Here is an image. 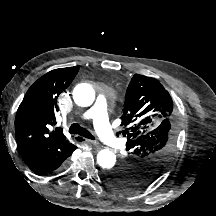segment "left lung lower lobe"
I'll use <instances>...</instances> for the list:
<instances>
[{
  "label": "left lung lower lobe",
  "instance_id": "1",
  "mask_svg": "<svg viewBox=\"0 0 216 216\" xmlns=\"http://www.w3.org/2000/svg\"><path fill=\"white\" fill-rule=\"evenodd\" d=\"M105 176H106V174L103 175V179H104V180H105Z\"/></svg>",
  "mask_w": 216,
  "mask_h": 216
}]
</instances>
